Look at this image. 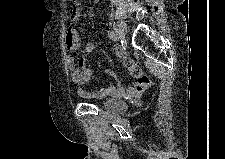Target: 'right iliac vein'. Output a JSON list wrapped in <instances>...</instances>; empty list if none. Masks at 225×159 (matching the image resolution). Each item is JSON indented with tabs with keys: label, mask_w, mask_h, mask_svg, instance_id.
I'll return each instance as SVG.
<instances>
[{
	"label": "right iliac vein",
	"mask_w": 225,
	"mask_h": 159,
	"mask_svg": "<svg viewBox=\"0 0 225 159\" xmlns=\"http://www.w3.org/2000/svg\"><path fill=\"white\" fill-rule=\"evenodd\" d=\"M115 24H116V27H117V33H118L119 37L124 39L126 37V33H127L126 25L119 20H117L115 22Z\"/></svg>",
	"instance_id": "obj_1"
}]
</instances>
